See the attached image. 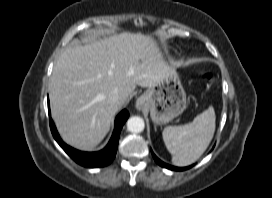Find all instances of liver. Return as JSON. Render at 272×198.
Segmentation results:
<instances>
[{
    "instance_id": "1",
    "label": "liver",
    "mask_w": 272,
    "mask_h": 198,
    "mask_svg": "<svg viewBox=\"0 0 272 198\" xmlns=\"http://www.w3.org/2000/svg\"><path fill=\"white\" fill-rule=\"evenodd\" d=\"M170 67L149 35L123 32L67 48L56 62L49 92L62 139L80 150L96 147L136 86L152 87ZM117 89V102L109 99Z\"/></svg>"
}]
</instances>
